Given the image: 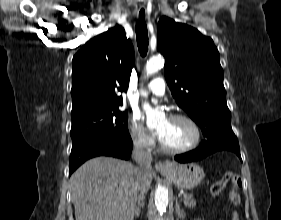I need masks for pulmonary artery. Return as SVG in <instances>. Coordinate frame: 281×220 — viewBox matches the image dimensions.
Here are the masks:
<instances>
[{
  "mask_svg": "<svg viewBox=\"0 0 281 220\" xmlns=\"http://www.w3.org/2000/svg\"><path fill=\"white\" fill-rule=\"evenodd\" d=\"M148 94L161 97L165 94V82L162 78H155L148 84Z\"/></svg>",
  "mask_w": 281,
  "mask_h": 220,
  "instance_id": "obj_1",
  "label": "pulmonary artery"
}]
</instances>
